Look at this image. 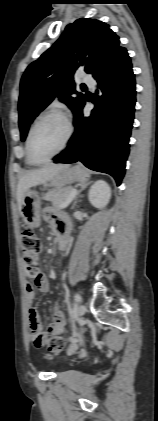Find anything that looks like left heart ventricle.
<instances>
[{
  "mask_svg": "<svg viewBox=\"0 0 158 421\" xmlns=\"http://www.w3.org/2000/svg\"><path fill=\"white\" fill-rule=\"evenodd\" d=\"M67 133L65 121L59 116H49L35 128L31 139L34 159L42 161L54 154L62 145Z\"/></svg>",
  "mask_w": 158,
  "mask_h": 421,
  "instance_id": "1",
  "label": "left heart ventricle"
}]
</instances>
